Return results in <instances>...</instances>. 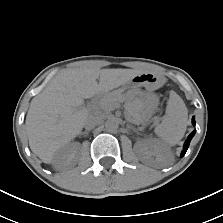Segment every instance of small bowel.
<instances>
[{"instance_id":"small-bowel-1","label":"small bowel","mask_w":223,"mask_h":223,"mask_svg":"<svg viewBox=\"0 0 223 223\" xmlns=\"http://www.w3.org/2000/svg\"><path fill=\"white\" fill-rule=\"evenodd\" d=\"M153 98H154L153 96H150V97H149V99H153Z\"/></svg>"}]
</instances>
